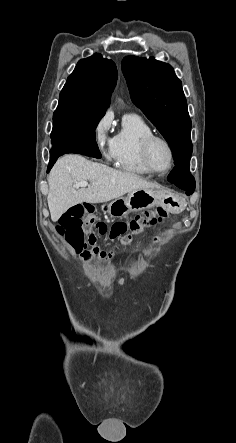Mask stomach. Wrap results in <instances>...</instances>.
Listing matches in <instances>:
<instances>
[{
    "instance_id": "1",
    "label": "stomach",
    "mask_w": 236,
    "mask_h": 443,
    "mask_svg": "<svg viewBox=\"0 0 236 443\" xmlns=\"http://www.w3.org/2000/svg\"><path fill=\"white\" fill-rule=\"evenodd\" d=\"M160 205L172 213L185 208L184 200L178 195L159 188L140 189L115 199L101 207L104 214L112 218H122L131 212H138Z\"/></svg>"
}]
</instances>
